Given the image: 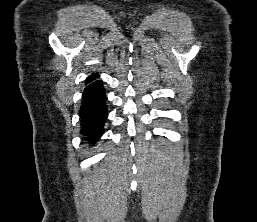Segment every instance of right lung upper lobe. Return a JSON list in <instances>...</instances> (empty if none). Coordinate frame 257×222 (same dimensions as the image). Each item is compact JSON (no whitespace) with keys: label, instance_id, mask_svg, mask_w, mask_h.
<instances>
[{"label":"right lung upper lobe","instance_id":"obj_1","mask_svg":"<svg viewBox=\"0 0 257 222\" xmlns=\"http://www.w3.org/2000/svg\"><path fill=\"white\" fill-rule=\"evenodd\" d=\"M95 76H97V73H96V74H93V75L90 76V77H88V78L86 79V81L91 80V79L94 78Z\"/></svg>","mask_w":257,"mask_h":222}]
</instances>
